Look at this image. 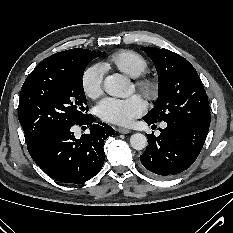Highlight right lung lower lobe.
<instances>
[{"label":"right lung lower lobe","instance_id":"obj_1","mask_svg":"<svg viewBox=\"0 0 233 233\" xmlns=\"http://www.w3.org/2000/svg\"><path fill=\"white\" fill-rule=\"evenodd\" d=\"M94 120V116L88 114L75 124L90 129V133L83 134L80 139L75 138L72 132L74 125L42 133L27 142L30 156L57 181L79 184L93 178L104 164V142L115 133L107 124H93Z\"/></svg>","mask_w":233,"mask_h":233}]
</instances>
